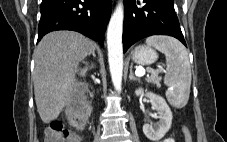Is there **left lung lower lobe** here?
Here are the masks:
<instances>
[{
	"instance_id": "1",
	"label": "left lung lower lobe",
	"mask_w": 227,
	"mask_h": 142,
	"mask_svg": "<svg viewBox=\"0 0 227 142\" xmlns=\"http://www.w3.org/2000/svg\"><path fill=\"white\" fill-rule=\"evenodd\" d=\"M124 0L123 51L142 38L151 35H169L185 46L180 24L174 10V0Z\"/></svg>"
}]
</instances>
